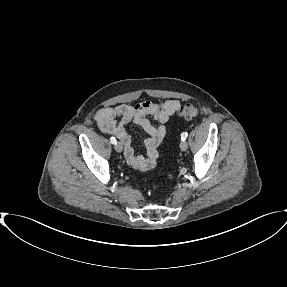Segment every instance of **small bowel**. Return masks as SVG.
<instances>
[{"instance_id":"obj_1","label":"small bowel","mask_w":287,"mask_h":287,"mask_svg":"<svg viewBox=\"0 0 287 287\" xmlns=\"http://www.w3.org/2000/svg\"><path fill=\"white\" fill-rule=\"evenodd\" d=\"M180 107L177 100L161 102L144 101L135 105L121 104L116 107H104L96 114V122L101 131L113 134L123 143L127 163L138 170L148 171L155 166L157 147L166 135L165 123ZM148 116L154 117L159 124L153 125ZM129 122L140 126L147 134L145 147L147 156L136 155L132 146L131 136L125 130Z\"/></svg>"}]
</instances>
